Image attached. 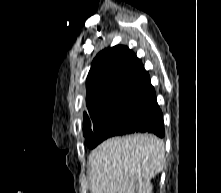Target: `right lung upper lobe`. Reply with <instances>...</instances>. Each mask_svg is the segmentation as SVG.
<instances>
[{"instance_id": "obj_1", "label": "right lung upper lobe", "mask_w": 221, "mask_h": 193, "mask_svg": "<svg viewBox=\"0 0 221 193\" xmlns=\"http://www.w3.org/2000/svg\"><path fill=\"white\" fill-rule=\"evenodd\" d=\"M86 88L90 115L121 100L152 101L156 97L141 61L128 47L120 45L107 48L95 57Z\"/></svg>"}]
</instances>
